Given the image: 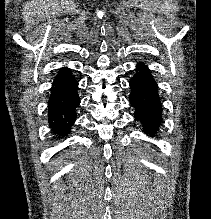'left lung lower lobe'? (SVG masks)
<instances>
[{"label":"left lung lower lobe","instance_id":"left-lung-lower-lobe-1","mask_svg":"<svg viewBox=\"0 0 211 219\" xmlns=\"http://www.w3.org/2000/svg\"><path fill=\"white\" fill-rule=\"evenodd\" d=\"M137 73L131 79L130 103L135 106V118L144 124L147 134L154 136L161 124L162 106L158 95V86L148 68L139 63Z\"/></svg>","mask_w":211,"mask_h":219}]
</instances>
